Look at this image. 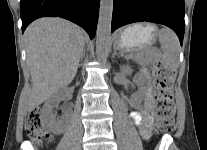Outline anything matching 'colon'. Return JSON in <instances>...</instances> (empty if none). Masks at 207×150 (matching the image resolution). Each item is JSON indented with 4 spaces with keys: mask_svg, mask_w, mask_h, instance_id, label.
<instances>
[{
    "mask_svg": "<svg viewBox=\"0 0 207 150\" xmlns=\"http://www.w3.org/2000/svg\"><path fill=\"white\" fill-rule=\"evenodd\" d=\"M155 100H156V129L159 132H171L175 128L174 106L172 101V82L175 70L162 60L154 62ZM26 130L30 139L35 143H42L49 139L41 119L40 111L33 110L27 119Z\"/></svg>",
    "mask_w": 207,
    "mask_h": 150,
    "instance_id": "1",
    "label": "colon"
}]
</instances>
